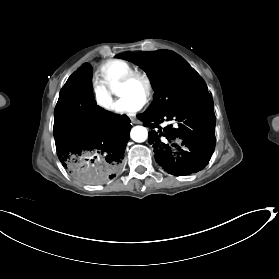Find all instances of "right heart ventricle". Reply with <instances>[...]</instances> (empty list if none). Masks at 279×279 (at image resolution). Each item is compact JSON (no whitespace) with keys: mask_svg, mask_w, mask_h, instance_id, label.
Instances as JSON below:
<instances>
[{"mask_svg":"<svg viewBox=\"0 0 279 279\" xmlns=\"http://www.w3.org/2000/svg\"><path fill=\"white\" fill-rule=\"evenodd\" d=\"M132 70H135V67L123 59H108L98 66L95 75L97 82L109 91H115L119 80Z\"/></svg>","mask_w":279,"mask_h":279,"instance_id":"1","label":"right heart ventricle"}]
</instances>
